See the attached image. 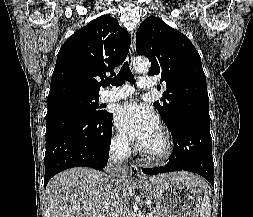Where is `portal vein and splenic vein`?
<instances>
[{"label":"portal vein and splenic vein","mask_w":253,"mask_h":217,"mask_svg":"<svg viewBox=\"0 0 253 217\" xmlns=\"http://www.w3.org/2000/svg\"><path fill=\"white\" fill-rule=\"evenodd\" d=\"M146 217H153L152 213H148Z\"/></svg>","instance_id":"obj_1"}]
</instances>
